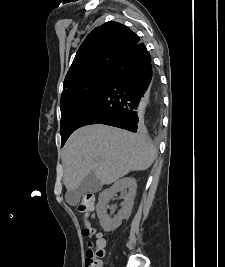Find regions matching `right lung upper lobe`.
<instances>
[{
	"label": "right lung upper lobe",
	"instance_id": "1",
	"mask_svg": "<svg viewBox=\"0 0 225 267\" xmlns=\"http://www.w3.org/2000/svg\"><path fill=\"white\" fill-rule=\"evenodd\" d=\"M140 43V38L128 27L107 22L96 27L78 49L65 77L64 89L87 78L110 73L119 57Z\"/></svg>",
	"mask_w": 225,
	"mask_h": 267
}]
</instances>
